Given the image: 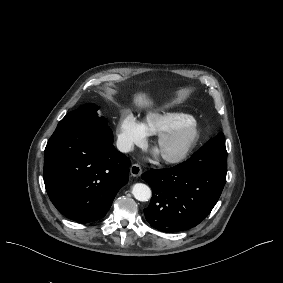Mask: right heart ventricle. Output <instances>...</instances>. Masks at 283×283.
<instances>
[{"label": "right heart ventricle", "mask_w": 283, "mask_h": 283, "mask_svg": "<svg viewBox=\"0 0 283 283\" xmlns=\"http://www.w3.org/2000/svg\"><path fill=\"white\" fill-rule=\"evenodd\" d=\"M184 118L192 117L181 112H153L147 116V120H152L157 125V132L172 128Z\"/></svg>", "instance_id": "1"}]
</instances>
